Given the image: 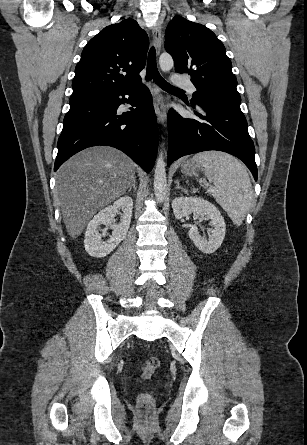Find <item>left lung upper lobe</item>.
Here are the masks:
<instances>
[{
  "label": "left lung upper lobe",
  "mask_w": 307,
  "mask_h": 445,
  "mask_svg": "<svg viewBox=\"0 0 307 445\" xmlns=\"http://www.w3.org/2000/svg\"><path fill=\"white\" fill-rule=\"evenodd\" d=\"M166 51L178 73H188L197 91L192 105H222L240 109L237 80L223 43L202 24L175 16L166 31Z\"/></svg>",
  "instance_id": "5c2ea615"
}]
</instances>
